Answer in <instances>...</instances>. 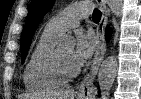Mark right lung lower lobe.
Listing matches in <instances>:
<instances>
[{"label":"right lung lower lobe","instance_id":"98d812e1","mask_svg":"<svg viewBox=\"0 0 141 99\" xmlns=\"http://www.w3.org/2000/svg\"><path fill=\"white\" fill-rule=\"evenodd\" d=\"M110 33H111L110 29L107 28V31H106V38H107V39L110 38Z\"/></svg>","mask_w":141,"mask_h":99}]
</instances>
